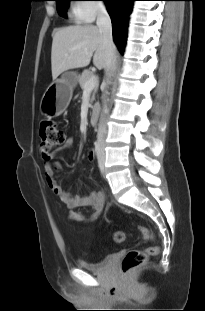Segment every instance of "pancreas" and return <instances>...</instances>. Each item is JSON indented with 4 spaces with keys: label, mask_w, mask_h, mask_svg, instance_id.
Returning <instances> with one entry per match:
<instances>
[{
    "label": "pancreas",
    "mask_w": 205,
    "mask_h": 311,
    "mask_svg": "<svg viewBox=\"0 0 205 311\" xmlns=\"http://www.w3.org/2000/svg\"><path fill=\"white\" fill-rule=\"evenodd\" d=\"M93 76H94V74L89 70L83 71V73L78 76V82L80 84V87L83 90H84L86 82L89 81ZM96 91H97V87L94 88V92H93V95L91 98V102L95 99L94 96H95Z\"/></svg>",
    "instance_id": "cf45deb5"
}]
</instances>
